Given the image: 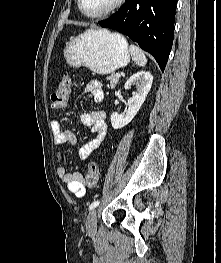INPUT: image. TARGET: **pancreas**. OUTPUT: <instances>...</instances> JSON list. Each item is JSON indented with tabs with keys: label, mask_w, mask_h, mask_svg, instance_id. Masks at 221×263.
<instances>
[{
	"label": "pancreas",
	"mask_w": 221,
	"mask_h": 263,
	"mask_svg": "<svg viewBox=\"0 0 221 263\" xmlns=\"http://www.w3.org/2000/svg\"><path fill=\"white\" fill-rule=\"evenodd\" d=\"M106 79L109 80L111 88H115V86L117 85V83L119 81V78L115 77L114 74L107 76Z\"/></svg>",
	"instance_id": "obj_1"
}]
</instances>
